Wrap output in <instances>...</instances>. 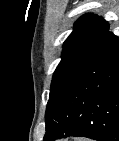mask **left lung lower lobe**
I'll return each instance as SVG.
<instances>
[{"label": "left lung lower lobe", "mask_w": 119, "mask_h": 141, "mask_svg": "<svg viewBox=\"0 0 119 141\" xmlns=\"http://www.w3.org/2000/svg\"><path fill=\"white\" fill-rule=\"evenodd\" d=\"M44 141L69 136L119 141V39L109 32L96 57L49 99Z\"/></svg>", "instance_id": "left-lung-lower-lobe-1"}]
</instances>
